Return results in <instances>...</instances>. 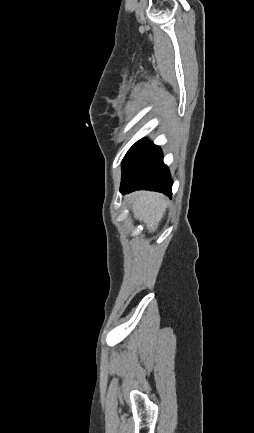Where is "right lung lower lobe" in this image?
<instances>
[{
  "mask_svg": "<svg viewBox=\"0 0 254 433\" xmlns=\"http://www.w3.org/2000/svg\"><path fill=\"white\" fill-rule=\"evenodd\" d=\"M162 159L158 146L146 139L136 142L122 162L120 192L125 194L145 189L162 192L171 197L172 180Z\"/></svg>",
  "mask_w": 254,
  "mask_h": 433,
  "instance_id": "1",
  "label": "right lung lower lobe"
}]
</instances>
